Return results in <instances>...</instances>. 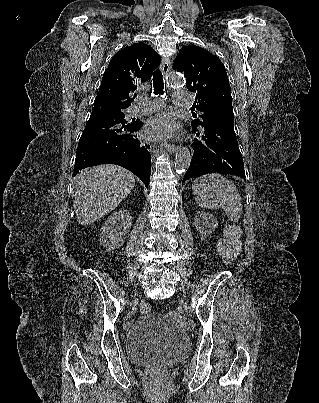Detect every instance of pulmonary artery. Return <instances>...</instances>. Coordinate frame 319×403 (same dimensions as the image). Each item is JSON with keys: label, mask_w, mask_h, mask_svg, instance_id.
Listing matches in <instances>:
<instances>
[{"label": "pulmonary artery", "mask_w": 319, "mask_h": 403, "mask_svg": "<svg viewBox=\"0 0 319 403\" xmlns=\"http://www.w3.org/2000/svg\"><path fill=\"white\" fill-rule=\"evenodd\" d=\"M192 100V94L189 91L179 90L174 92V104L178 107H189ZM163 102L158 98L140 97L129 108V113L138 115L149 111H154L162 106Z\"/></svg>", "instance_id": "1"}]
</instances>
